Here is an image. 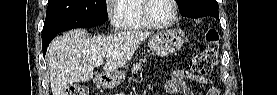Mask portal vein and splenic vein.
Instances as JSON below:
<instances>
[{
  "label": "portal vein and splenic vein",
  "mask_w": 277,
  "mask_h": 95,
  "mask_svg": "<svg viewBox=\"0 0 277 95\" xmlns=\"http://www.w3.org/2000/svg\"><path fill=\"white\" fill-rule=\"evenodd\" d=\"M102 63H103V60H98V61L95 63V65H96V66H100Z\"/></svg>",
  "instance_id": "18ae733b"
}]
</instances>
